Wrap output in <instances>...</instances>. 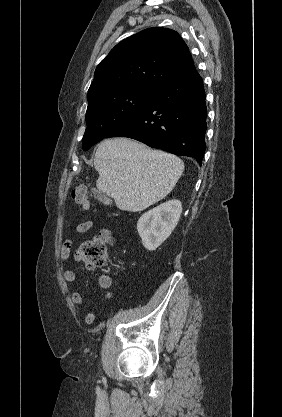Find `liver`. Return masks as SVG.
Segmentation results:
<instances>
[{
    "instance_id": "6515ba94",
    "label": "liver",
    "mask_w": 282,
    "mask_h": 417,
    "mask_svg": "<svg viewBox=\"0 0 282 417\" xmlns=\"http://www.w3.org/2000/svg\"><path fill=\"white\" fill-rule=\"evenodd\" d=\"M97 188L114 198L120 211H144L165 198L178 182L184 162L169 152L117 136L99 144L94 158Z\"/></svg>"
}]
</instances>
